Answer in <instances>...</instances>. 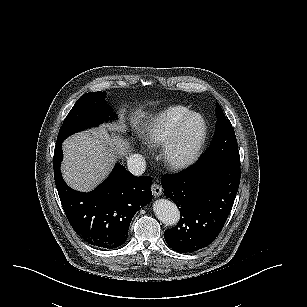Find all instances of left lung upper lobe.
Returning a JSON list of instances; mask_svg holds the SVG:
<instances>
[{
    "label": "left lung upper lobe",
    "mask_w": 307,
    "mask_h": 307,
    "mask_svg": "<svg viewBox=\"0 0 307 307\" xmlns=\"http://www.w3.org/2000/svg\"><path fill=\"white\" fill-rule=\"evenodd\" d=\"M216 116L218 118L214 138L210 147L198 162H231L240 164L237 140L230 121L225 117L217 103Z\"/></svg>",
    "instance_id": "5c2ea615"
}]
</instances>
